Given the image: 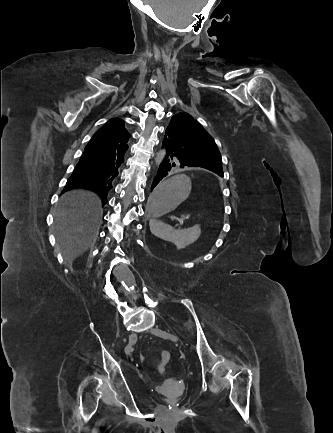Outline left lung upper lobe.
<instances>
[{"instance_id":"5c2ea615","label":"left lung upper lobe","mask_w":333,"mask_h":433,"mask_svg":"<svg viewBox=\"0 0 333 433\" xmlns=\"http://www.w3.org/2000/svg\"><path fill=\"white\" fill-rule=\"evenodd\" d=\"M165 134L170 148L179 156L223 177L221 155L215 141L191 115H174Z\"/></svg>"}]
</instances>
